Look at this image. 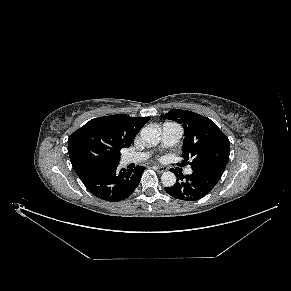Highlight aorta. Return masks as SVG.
<instances>
[{"mask_svg":"<svg viewBox=\"0 0 291 291\" xmlns=\"http://www.w3.org/2000/svg\"><path fill=\"white\" fill-rule=\"evenodd\" d=\"M142 140L148 144H158L161 133L153 126H145L140 131ZM162 184L166 187H171L176 183V176L174 173L167 171L161 175Z\"/></svg>","mask_w":291,"mask_h":291,"instance_id":"762f6f07","label":"aorta"}]
</instances>
